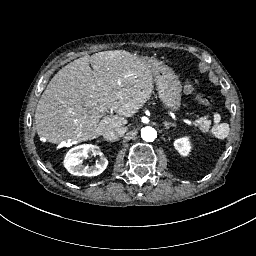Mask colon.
<instances>
[{"instance_id": "1", "label": "colon", "mask_w": 256, "mask_h": 256, "mask_svg": "<svg viewBox=\"0 0 256 256\" xmlns=\"http://www.w3.org/2000/svg\"><path fill=\"white\" fill-rule=\"evenodd\" d=\"M185 91L189 94H193L195 98L203 105H208L213 101L209 90L197 89L190 82L185 84Z\"/></svg>"}]
</instances>
